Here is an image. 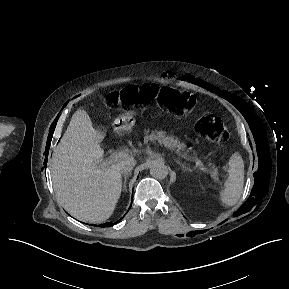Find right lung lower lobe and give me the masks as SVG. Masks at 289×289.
<instances>
[{
	"mask_svg": "<svg viewBox=\"0 0 289 289\" xmlns=\"http://www.w3.org/2000/svg\"><path fill=\"white\" fill-rule=\"evenodd\" d=\"M113 224H115V223H113ZM112 223H107V225H105V226H111V225H113ZM104 226V225H103ZM104 226V227H105Z\"/></svg>",
	"mask_w": 289,
	"mask_h": 289,
	"instance_id": "98d812e1",
	"label": "right lung lower lobe"
}]
</instances>
